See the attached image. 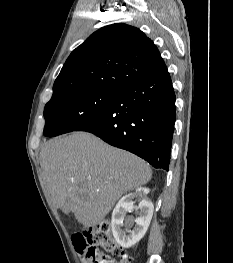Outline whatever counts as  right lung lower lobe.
<instances>
[{
	"label": "right lung lower lobe",
	"mask_w": 233,
	"mask_h": 263,
	"mask_svg": "<svg viewBox=\"0 0 233 263\" xmlns=\"http://www.w3.org/2000/svg\"><path fill=\"white\" fill-rule=\"evenodd\" d=\"M175 93L166 71L117 91L108 107L75 131L91 132L130 151L155 168L168 171L174 123Z\"/></svg>",
	"instance_id": "right-lung-lower-lobe-1"
}]
</instances>
